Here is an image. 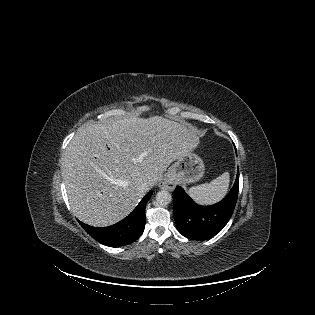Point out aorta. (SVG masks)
I'll use <instances>...</instances> for the list:
<instances>
[{"label": "aorta", "mask_w": 315, "mask_h": 315, "mask_svg": "<svg viewBox=\"0 0 315 315\" xmlns=\"http://www.w3.org/2000/svg\"><path fill=\"white\" fill-rule=\"evenodd\" d=\"M172 200V196L169 191L167 190H161L156 194V202L160 206H166L168 205Z\"/></svg>", "instance_id": "1"}]
</instances>
